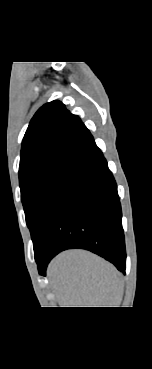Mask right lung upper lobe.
I'll list each match as a JSON object with an SVG mask.
<instances>
[{"mask_svg": "<svg viewBox=\"0 0 152 369\" xmlns=\"http://www.w3.org/2000/svg\"><path fill=\"white\" fill-rule=\"evenodd\" d=\"M96 146L77 115L52 101L33 116L22 141L19 178L27 172L60 162L79 163Z\"/></svg>", "mask_w": 152, "mask_h": 369, "instance_id": "obj_1", "label": "right lung upper lobe"}]
</instances>
